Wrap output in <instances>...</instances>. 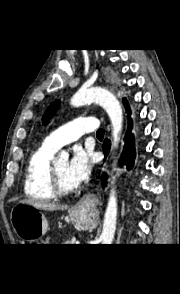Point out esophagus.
<instances>
[{
	"mask_svg": "<svg viewBox=\"0 0 180 294\" xmlns=\"http://www.w3.org/2000/svg\"><path fill=\"white\" fill-rule=\"evenodd\" d=\"M99 200L96 194L89 192L82 196L79 202L74 207V213L76 214H98Z\"/></svg>",
	"mask_w": 180,
	"mask_h": 294,
	"instance_id": "1",
	"label": "esophagus"
}]
</instances>
